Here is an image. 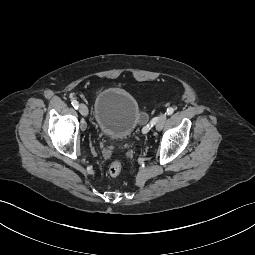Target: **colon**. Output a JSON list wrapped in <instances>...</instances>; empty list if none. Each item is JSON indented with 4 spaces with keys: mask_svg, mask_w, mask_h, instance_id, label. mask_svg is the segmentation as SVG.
<instances>
[{
    "mask_svg": "<svg viewBox=\"0 0 255 255\" xmlns=\"http://www.w3.org/2000/svg\"><path fill=\"white\" fill-rule=\"evenodd\" d=\"M122 172V164L119 160H114L108 168V175L110 177H118Z\"/></svg>",
    "mask_w": 255,
    "mask_h": 255,
    "instance_id": "obj_1",
    "label": "colon"
}]
</instances>
